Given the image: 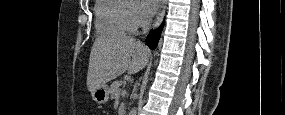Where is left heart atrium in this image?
Returning a JSON list of instances; mask_svg holds the SVG:
<instances>
[{"label": "left heart atrium", "mask_w": 285, "mask_h": 115, "mask_svg": "<svg viewBox=\"0 0 285 115\" xmlns=\"http://www.w3.org/2000/svg\"><path fill=\"white\" fill-rule=\"evenodd\" d=\"M141 3L145 14L148 16L153 15L159 6V0H142Z\"/></svg>", "instance_id": "left-heart-atrium-1"}]
</instances>
